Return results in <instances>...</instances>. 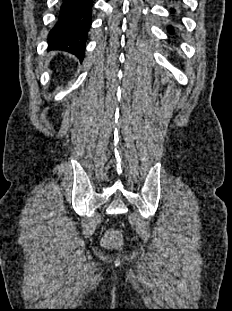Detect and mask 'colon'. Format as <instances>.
Instances as JSON below:
<instances>
[{
	"instance_id": "obj_1",
	"label": "colon",
	"mask_w": 232,
	"mask_h": 311,
	"mask_svg": "<svg viewBox=\"0 0 232 311\" xmlns=\"http://www.w3.org/2000/svg\"><path fill=\"white\" fill-rule=\"evenodd\" d=\"M122 243L121 233L114 228L108 229L102 239V245L107 249H118L122 246Z\"/></svg>"
}]
</instances>
